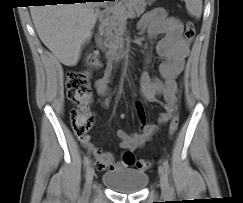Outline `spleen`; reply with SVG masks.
<instances>
[{
  "label": "spleen",
  "instance_id": "3e777b00",
  "mask_svg": "<svg viewBox=\"0 0 243 203\" xmlns=\"http://www.w3.org/2000/svg\"><path fill=\"white\" fill-rule=\"evenodd\" d=\"M186 9L191 16L200 18L202 14V0H184Z\"/></svg>",
  "mask_w": 243,
  "mask_h": 203
}]
</instances>
